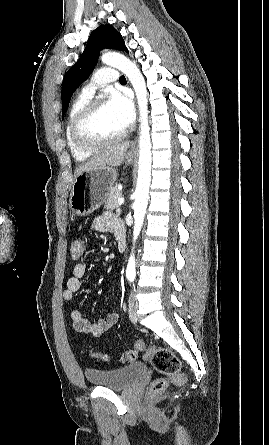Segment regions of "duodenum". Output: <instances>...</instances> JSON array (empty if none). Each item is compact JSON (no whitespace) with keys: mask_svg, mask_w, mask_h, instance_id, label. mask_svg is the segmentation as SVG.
I'll use <instances>...</instances> for the list:
<instances>
[{"mask_svg":"<svg viewBox=\"0 0 269 445\" xmlns=\"http://www.w3.org/2000/svg\"><path fill=\"white\" fill-rule=\"evenodd\" d=\"M117 244H118V250L119 252L123 253L126 249V234L125 231H120L117 235Z\"/></svg>","mask_w":269,"mask_h":445,"instance_id":"410a0bca","label":"duodenum"}]
</instances>
